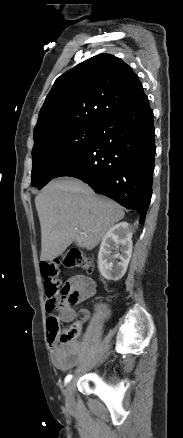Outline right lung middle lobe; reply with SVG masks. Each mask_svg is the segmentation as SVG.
Instances as JSON below:
<instances>
[{
    "instance_id": "dd1d6c3e",
    "label": "right lung middle lobe",
    "mask_w": 183,
    "mask_h": 438,
    "mask_svg": "<svg viewBox=\"0 0 183 438\" xmlns=\"http://www.w3.org/2000/svg\"><path fill=\"white\" fill-rule=\"evenodd\" d=\"M97 126H77L46 133L34 140L33 187L42 188L92 141Z\"/></svg>"
}]
</instances>
